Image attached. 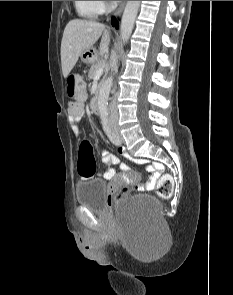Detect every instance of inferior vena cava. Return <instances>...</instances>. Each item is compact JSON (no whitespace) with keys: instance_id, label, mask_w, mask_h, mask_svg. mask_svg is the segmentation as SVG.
Listing matches in <instances>:
<instances>
[{"instance_id":"inferior-vena-cava-1","label":"inferior vena cava","mask_w":233,"mask_h":295,"mask_svg":"<svg viewBox=\"0 0 233 295\" xmlns=\"http://www.w3.org/2000/svg\"><path fill=\"white\" fill-rule=\"evenodd\" d=\"M112 58H116V53L112 51L111 54ZM109 113L111 118H117L118 117V112H117V106H116V94L114 91V97L109 105Z\"/></svg>"}]
</instances>
